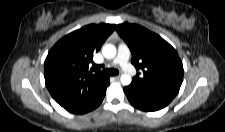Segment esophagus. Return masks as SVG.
Returning a JSON list of instances; mask_svg holds the SVG:
<instances>
[{
  "label": "esophagus",
  "mask_w": 225,
  "mask_h": 132,
  "mask_svg": "<svg viewBox=\"0 0 225 132\" xmlns=\"http://www.w3.org/2000/svg\"><path fill=\"white\" fill-rule=\"evenodd\" d=\"M112 79L115 80V81H118L120 79V77L119 76H114V77H112Z\"/></svg>",
  "instance_id": "1"
}]
</instances>
